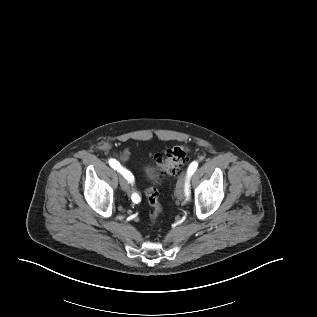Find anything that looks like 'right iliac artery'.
<instances>
[{"instance_id": "82829eb1", "label": "right iliac artery", "mask_w": 317, "mask_h": 317, "mask_svg": "<svg viewBox=\"0 0 317 317\" xmlns=\"http://www.w3.org/2000/svg\"><path fill=\"white\" fill-rule=\"evenodd\" d=\"M109 165L113 169L120 172L125 177V179L128 180V183L133 182L134 177H133L132 173H130V171H128L127 169L123 168L116 159H112V158L109 159ZM131 199L134 203H138L140 201V197L136 193L132 194Z\"/></svg>"}]
</instances>
